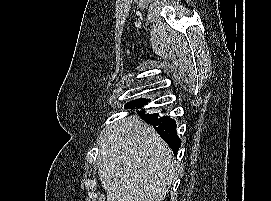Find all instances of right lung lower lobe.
<instances>
[{
	"mask_svg": "<svg viewBox=\"0 0 271 201\" xmlns=\"http://www.w3.org/2000/svg\"><path fill=\"white\" fill-rule=\"evenodd\" d=\"M150 100L145 98H139L125 104V109H141ZM140 117L148 124L153 125L162 139L172 148L173 153L176 155L181 146V140L176 132V122L170 117H160L158 114H149L143 111H137Z\"/></svg>",
	"mask_w": 271,
	"mask_h": 201,
	"instance_id": "obj_1",
	"label": "right lung lower lobe"
}]
</instances>
